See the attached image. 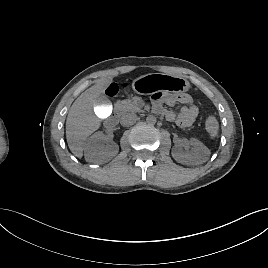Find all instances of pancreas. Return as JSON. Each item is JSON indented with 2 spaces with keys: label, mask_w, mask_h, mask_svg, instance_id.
<instances>
[{
  "label": "pancreas",
  "mask_w": 268,
  "mask_h": 268,
  "mask_svg": "<svg viewBox=\"0 0 268 268\" xmlns=\"http://www.w3.org/2000/svg\"><path fill=\"white\" fill-rule=\"evenodd\" d=\"M143 106L144 102L139 97L118 101L115 104L116 110L121 114L126 112H139Z\"/></svg>",
  "instance_id": "1"
}]
</instances>
